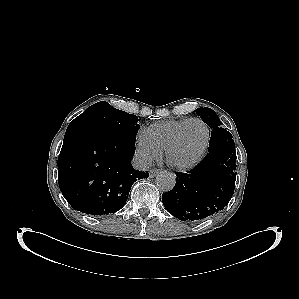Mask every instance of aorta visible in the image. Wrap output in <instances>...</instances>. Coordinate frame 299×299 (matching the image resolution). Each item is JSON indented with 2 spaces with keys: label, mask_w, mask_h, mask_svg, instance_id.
Segmentation results:
<instances>
[{
  "label": "aorta",
  "mask_w": 299,
  "mask_h": 299,
  "mask_svg": "<svg viewBox=\"0 0 299 299\" xmlns=\"http://www.w3.org/2000/svg\"><path fill=\"white\" fill-rule=\"evenodd\" d=\"M156 181H157L158 187L164 192L171 191L176 184V178L170 172H161L156 177Z\"/></svg>",
  "instance_id": "762f6f07"
}]
</instances>
